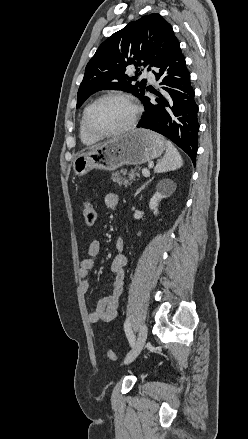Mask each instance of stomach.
<instances>
[{
	"mask_svg": "<svg viewBox=\"0 0 248 439\" xmlns=\"http://www.w3.org/2000/svg\"><path fill=\"white\" fill-rule=\"evenodd\" d=\"M166 148L162 136L135 129L78 155L73 161V171L77 176H84L92 169L113 171L122 165L143 164L160 157Z\"/></svg>",
	"mask_w": 248,
	"mask_h": 439,
	"instance_id": "obj_1",
	"label": "stomach"
}]
</instances>
